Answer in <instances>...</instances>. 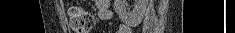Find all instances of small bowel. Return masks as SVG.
I'll return each instance as SVG.
<instances>
[{"mask_svg": "<svg viewBox=\"0 0 235 33\" xmlns=\"http://www.w3.org/2000/svg\"><path fill=\"white\" fill-rule=\"evenodd\" d=\"M95 3L98 9V17L101 20H111L113 14L109 7V0H96ZM117 33H131V30L127 25L122 24L119 26Z\"/></svg>", "mask_w": 235, "mask_h": 33, "instance_id": "small-bowel-1", "label": "small bowel"}]
</instances>
